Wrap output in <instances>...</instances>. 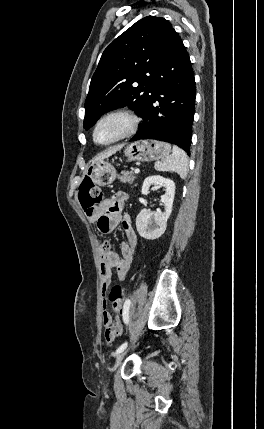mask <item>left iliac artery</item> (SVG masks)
Returning a JSON list of instances; mask_svg holds the SVG:
<instances>
[{"instance_id":"left-iliac-artery-1","label":"left iliac artery","mask_w":264,"mask_h":429,"mask_svg":"<svg viewBox=\"0 0 264 429\" xmlns=\"http://www.w3.org/2000/svg\"><path fill=\"white\" fill-rule=\"evenodd\" d=\"M131 301L130 300H126L125 304H124V313H123V321L125 324L129 323V307H130ZM128 343L125 342L122 345H120L118 347V349L116 350V352L114 353V355L121 353L123 350L126 349Z\"/></svg>"}]
</instances>
